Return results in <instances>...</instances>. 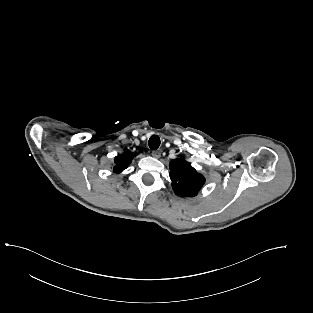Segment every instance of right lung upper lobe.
Masks as SVG:
<instances>
[{
    "label": "right lung upper lobe",
    "instance_id": "1",
    "mask_svg": "<svg viewBox=\"0 0 313 313\" xmlns=\"http://www.w3.org/2000/svg\"><path fill=\"white\" fill-rule=\"evenodd\" d=\"M136 155V153L127 151L115 157V166L113 167L114 173L119 174L124 169H126L132 161L133 157Z\"/></svg>",
    "mask_w": 313,
    "mask_h": 313
}]
</instances>
